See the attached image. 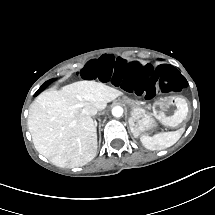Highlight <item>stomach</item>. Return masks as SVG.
Masks as SVG:
<instances>
[{"instance_id": "stomach-1", "label": "stomach", "mask_w": 215, "mask_h": 215, "mask_svg": "<svg viewBox=\"0 0 215 215\" xmlns=\"http://www.w3.org/2000/svg\"><path fill=\"white\" fill-rule=\"evenodd\" d=\"M129 104V127L134 136H141L157 127V122L165 127L182 128L188 120L187 101L176 95L158 98L150 108L140 102L124 99Z\"/></svg>"}]
</instances>
